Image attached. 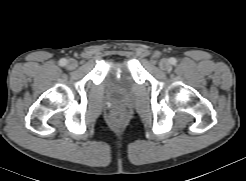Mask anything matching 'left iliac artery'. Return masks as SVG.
<instances>
[{
    "label": "left iliac artery",
    "mask_w": 246,
    "mask_h": 181,
    "mask_svg": "<svg viewBox=\"0 0 246 181\" xmlns=\"http://www.w3.org/2000/svg\"><path fill=\"white\" fill-rule=\"evenodd\" d=\"M176 62H177V60H176L175 58H170V63H171V64L174 65V64H176Z\"/></svg>",
    "instance_id": "1"
}]
</instances>
